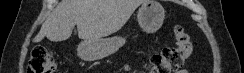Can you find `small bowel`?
Segmentation results:
<instances>
[{
	"instance_id": "small-bowel-1",
	"label": "small bowel",
	"mask_w": 244,
	"mask_h": 73,
	"mask_svg": "<svg viewBox=\"0 0 244 73\" xmlns=\"http://www.w3.org/2000/svg\"><path fill=\"white\" fill-rule=\"evenodd\" d=\"M131 67L130 65H124L121 69L120 72H128L130 71ZM180 73H187L186 70H181Z\"/></svg>"
}]
</instances>
